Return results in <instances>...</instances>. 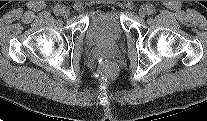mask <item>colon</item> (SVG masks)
I'll use <instances>...</instances> for the list:
<instances>
[{"label": "colon", "mask_w": 207, "mask_h": 121, "mask_svg": "<svg viewBox=\"0 0 207 121\" xmlns=\"http://www.w3.org/2000/svg\"><path fill=\"white\" fill-rule=\"evenodd\" d=\"M116 67L112 62H104L100 67L101 74L105 76H112L115 73Z\"/></svg>", "instance_id": "5ec220e1"}]
</instances>
